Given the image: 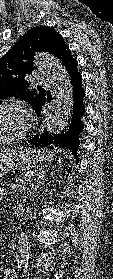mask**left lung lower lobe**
<instances>
[{
	"mask_svg": "<svg viewBox=\"0 0 113 279\" xmlns=\"http://www.w3.org/2000/svg\"><path fill=\"white\" fill-rule=\"evenodd\" d=\"M62 63L71 77L74 91V109L71 125L65 134L50 135L48 133H43L40 136L35 135L31 140L28 141V143L31 145V147L38 148L48 147L50 145L62 147L71 150L73 155L77 158V150L79 147V133L84 128V125L80 121V117L85 113V107L82 103L85 92L81 85L82 76L77 69L78 62L75 58H73L70 51L62 59ZM46 99L49 100L50 97L47 96L46 98V96L44 95V97L41 98L40 102L36 103L34 106V110L37 112L38 116L41 113L42 106L45 104Z\"/></svg>",
	"mask_w": 113,
	"mask_h": 279,
	"instance_id": "obj_1",
	"label": "left lung lower lobe"
}]
</instances>
